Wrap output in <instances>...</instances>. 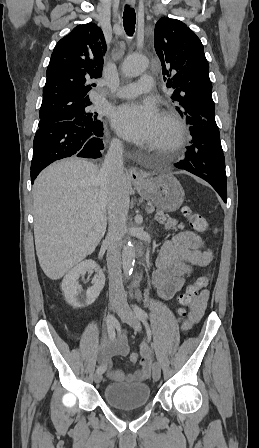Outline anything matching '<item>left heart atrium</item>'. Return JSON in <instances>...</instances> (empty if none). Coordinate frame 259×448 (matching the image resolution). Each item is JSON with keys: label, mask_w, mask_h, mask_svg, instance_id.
<instances>
[{"label": "left heart atrium", "mask_w": 259, "mask_h": 448, "mask_svg": "<svg viewBox=\"0 0 259 448\" xmlns=\"http://www.w3.org/2000/svg\"><path fill=\"white\" fill-rule=\"evenodd\" d=\"M111 123L123 138L139 143L155 133L160 126L161 115L153 102H129L113 110Z\"/></svg>", "instance_id": "39dd6f15"}]
</instances>
